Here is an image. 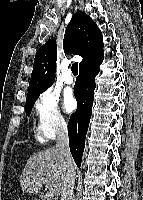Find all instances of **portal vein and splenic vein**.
Masks as SVG:
<instances>
[{"label": "portal vein and splenic vein", "instance_id": "1", "mask_svg": "<svg viewBox=\"0 0 143 200\" xmlns=\"http://www.w3.org/2000/svg\"><path fill=\"white\" fill-rule=\"evenodd\" d=\"M45 198L47 200H53L54 199V195L52 193H50V192H46Z\"/></svg>", "mask_w": 143, "mask_h": 200}]
</instances>
